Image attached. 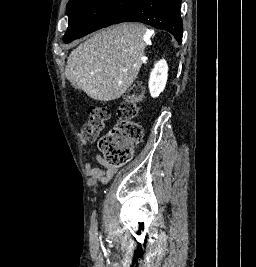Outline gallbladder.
<instances>
[{
  "mask_svg": "<svg viewBox=\"0 0 256 267\" xmlns=\"http://www.w3.org/2000/svg\"><path fill=\"white\" fill-rule=\"evenodd\" d=\"M71 86H73V88H76V90H82L81 86H77V84H74V82H71Z\"/></svg>",
  "mask_w": 256,
  "mask_h": 267,
  "instance_id": "1",
  "label": "gallbladder"
}]
</instances>
